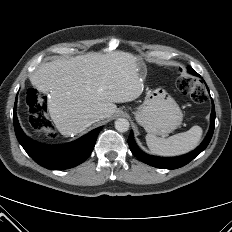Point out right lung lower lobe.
<instances>
[{"label": "right lung lower lobe", "instance_id": "right-lung-lower-lobe-1", "mask_svg": "<svg viewBox=\"0 0 232 232\" xmlns=\"http://www.w3.org/2000/svg\"><path fill=\"white\" fill-rule=\"evenodd\" d=\"M15 106L13 122L19 143L35 162L48 169L63 170L84 162L91 154L97 136L102 129V127L96 128L80 139L63 145L37 143L28 138L21 130L16 116Z\"/></svg>", "mask_w": 232, "mask_h": 232}]
</instances>
